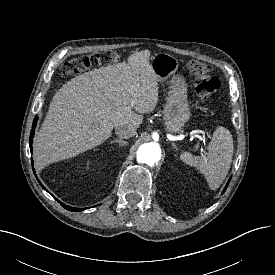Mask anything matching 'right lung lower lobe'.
Wrapping results in <instances>:
<instances>
[{
  "label": "right lung lower lobe",
  "mask_w": 275,
  "mask_h": 275,
  "mask_svg": "<svg viewBox=\"0 0 275 275\" xmlns=\"http://www.w3.org/2000/svg\"><path fill=\"white\" fill-rule=\"evenodd\" d=\"M37 120H38V117H35L34 121H33V126H32V130H31V135H30V139H29V143H30V149H31V152H32V143H33V136H34V131H35V127H36V124H37ZM32 166H33V160H32ZM34 171V169H33ZM35 172V171H34ZM40 185L43 187V189H45V187L40 183ZM46 190V189H45ZM57 200V199H56ZM65 209L69 210V211H75V212H78V211H82L84 210L85 208H73V207H70V206H67L63 203H61L59 200H57Z\"/></svg>",
  "instance_id": "1"
}]
</instances>
